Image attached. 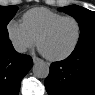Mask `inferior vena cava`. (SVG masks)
Masks as SVG:
<instances>
[{
	"label": "inferior vena cava",
	"instance_id": "602c4592",
	"mask_svg": "<svg viewBox=\"0 0 95 95\" xmlns=\"http://www.w3.org/2000/svg\"><path fill=\"white\" fill-rule=\"evenodd\" d=\"M14 49L18 52V53H24L27 51V48L25 45L21 44V43H14Z\"/></svg>",
	"mask_w": 95,
	"mask_h": 95
}]
</instances>
